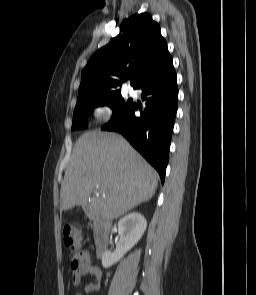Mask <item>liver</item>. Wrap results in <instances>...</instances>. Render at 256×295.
<instances>
[{
	"mask_svg": "<svg viewBox=\"0 0 256 295\" xmlns=\"http://www.w3.org/2000/svg\"><path fill=\"white\" fill-rule=\"evenodd\" d=\"M158 179L156 170L123 137L92 130L75 143L61 185V209L84 205L94 194L95 211L115 219L150 200Z\"/></svg>",
	"mask_w": 256,
	"mask_h": 295,
	"instance_id": "1",
	"label": "liver"
}]
</instances>
